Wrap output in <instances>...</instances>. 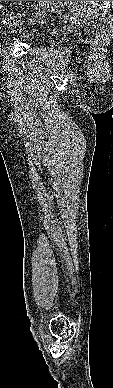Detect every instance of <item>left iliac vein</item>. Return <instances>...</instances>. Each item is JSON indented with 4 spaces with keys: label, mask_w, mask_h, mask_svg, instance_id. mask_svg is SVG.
I'll use <instances>...</instances> for the list:
<instances>
[{
    "label": "left iliac vein",
    "mask_w": 113,
    "mask_h": 388,
    "mask_svg": "<svg viewBox=\"0 0 113 388\" xmlns=\"http://www.w3.org/2000/svg\"><path fill=\"white\" fill-rule=\"evenodd\" d=\"M50 3H51V1H41V6H40V9L38 10V12L35 16V19L30 20L31 24H34L35 21H38V20L42 19L43 17H45V15L47 14Z\"/></svg>",
    "instance_id": "1"
}]
</instances>
